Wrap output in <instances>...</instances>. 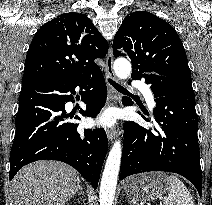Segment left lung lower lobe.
<instances>
[{
	"label": "left lung lower lobe",
	"mask_w": 212,
	"mask_h": 205,
	"mask_svg": "<svg viewBox=\"0 0 212 205\" xmlns=\"http://www.w3.org/2000/svg\"><path fill=\"white\" fill-rule=\"evenodd\" d=\"M132 78H144L147 84H151L156 101L153 113L159 127L151 130L134 122L124 124L119 179L148 171L174 172L187 178L201 196L198 121L191 82L156 73Z\"/></svg>",
	"instance_id": "1"
}]
</instances>
